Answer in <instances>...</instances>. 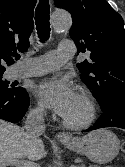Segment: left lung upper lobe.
Returning <instances> with one entry per match:
<instances>
[{"label":"left lung upper lobe","instance_id":"obj_1","mask_svg":"<svg viewBox=\"0 0 125 167\" xmlns=\"http://www.w3.org/2000/svg\"><path fill=\"white\" fill-rule=\"evenodd\" d=\"M70 12V37L78 53L90 59L77 64L82 80L101 109L113 99H125V29L123 19L106 0H54Z\"/></svg>","mask_w":125,"mask_h":167}]
</instances>
